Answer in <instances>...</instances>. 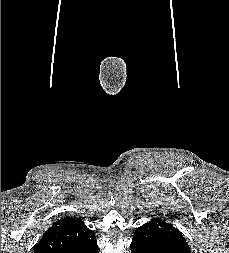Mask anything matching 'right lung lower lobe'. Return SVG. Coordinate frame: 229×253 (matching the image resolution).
Instances as JSON below:
<instances>
[{"label":"right lung lower lobe","mask_w":229,"mask_h":253,"mask_svg":"<svg viewBox=\"0 0 229 253\" xmlns=\"http://www.w3.org/2000/svg\"><path fill=\"white\" fill-rule=\"evenodd\" d=\"M72 253H99L97 242L95 241V242L90 243L86 246H83V247L73 251Z\"/></svg>","instance_id":"obj_1"}]
</instances>
